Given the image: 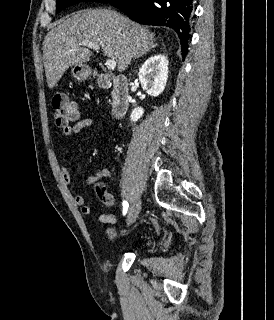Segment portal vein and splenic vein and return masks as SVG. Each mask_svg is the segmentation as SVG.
Listing matches in <instances>:
<instances>
[{"instance_id":"portal-vein-and-splenic-vein-1","label":"portal vein and splenic vein","mask_w":274,"mask_h":320,"mask_svg":"<svg viewBox=\"0 0 274 320\" xmlns=\"http://www.w3.org/2000/svg\"><path fill=\"white\" fill-rule=\"evenodd\" d=\"M83 46H87V48H91V50H95V52H97V54H99V46H96V44H90V42H82ZM106 68H108V70H115L116 68V62L115 60H106V64H105Z\"/></svg>"}]
</instances>
